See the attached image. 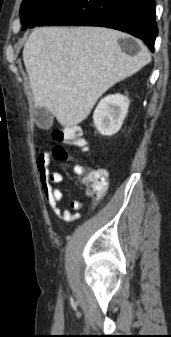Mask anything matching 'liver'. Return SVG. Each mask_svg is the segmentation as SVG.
I'll use <instances>...</instances> for the list:
<instances>
[{
	"label": "liver",
	"instance_id": "6515ba94",
	"mask_svg": "<svg viewBox=\"0 0 171 337\" xmlns=\"http://www.w3.org/2000/svg\"><path fill=\"white\" fill-rule=\"evenodd\" d=\"M132 39L138 52L122 51L120 39ZM35 105L50 111L64 127L81 123L99 97L115 83L151 61L142 41L100 27H40L23 49Z\"/></svg>",
	"mask_w": 171,
	"mask_h": 337
}]
</instances>
